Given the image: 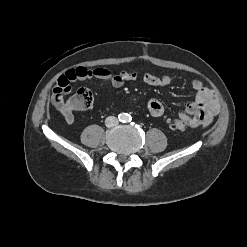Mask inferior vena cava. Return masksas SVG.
I'll list each match as a JSON object with an SVG mask.
<instances>
[{"mask_svg":"<svg viewBox=\"0 0 247 247\" xmlns=\"http://www.w3.org/2000/svg\"><path fill=\"white\" fill-rule=\"evenodd\" d=\"M118 124V119L114 116H109L105 119V125L107 127H113Z\"/></svg>","mask_w":247,"mask_h":247,"instance_id":"inferior-vena-cava-1","label":"inferior vena cava"}]
</instances>
